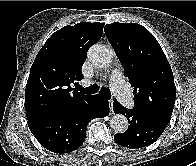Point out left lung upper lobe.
<instances>
[{
    "label": "left lung upper lobe",
    "instance_id": "left-lung-upper-lobe-1",
    "mask_svg": "<svg viewBox=\"0 0 196 166\" xmlns=\"http://www.w3.org/2000/svg\"><path fill=\"white\" fill-rule=\"evenodd\" d=\"M104 30L134 87L133 109L169 123L176 89L170 64L158 41L136 23L106 24Z\"/></svg>",
    "mask_w": 196,
    "mask_h": 166
}]
</instances>
